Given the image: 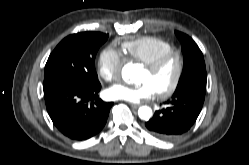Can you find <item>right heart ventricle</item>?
I'll return each instance as SVG.
<instances>
[{
    "instance_id": "1",
    "label": "right heart ventricle",
    "mask_w": 249,
    "mask_h": 165,
    "mask_svg": "<svg viewBox=\"0 0 249 165\" xmlns=\"http://www.w3.org/2000/svg\"><path fill=\"white\" fill-rule=\"evenodd\" d=\"M122 49L129 59L146 64L172 50V45L159 37L144 36L124 41Z\"/></svg>"
}]
</instances>
